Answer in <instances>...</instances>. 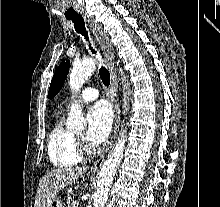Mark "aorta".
<instances>
[{
    "mask_svg": "<svg viewBox=\"0 0 220 207\" xmlns=\"http://www.w3.org/2000/svg\"><path fill=\"white\" fill-rule=\"evenodd\" d=\"M96 69V61L88 60L84 62H77L73 65L70 75H69V86L73 94H77L85 81L92 75ZM125 77L123 82H125ZM128 82L124 83V88L128 89ZM75 95H73V98ZM127 93L124 94V106L123 108L127 110ZM86 121L82 114L80 106L75 100V104H72L69 117L66 122V126L70 130H82L85 128ZM126 141V128L122 129L120 136L115 143L113 150L108 155V158L103 163L98 179L96 190L94 192V207H104L108 199L109 188L112 184L113 178L117 171V168L123 157V152L125 148Z\"/></svg>",
    "mask_w": 220,
    "mask_h": 207,
    "instance_id": "obj_1",
    "label": "aorta"
}]
</instances>
